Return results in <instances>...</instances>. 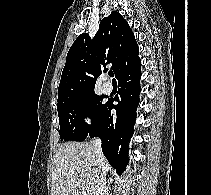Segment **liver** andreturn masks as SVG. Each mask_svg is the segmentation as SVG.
I'll use <instances>...</instances> for the list:
<instances>
[{
	"mask_svg": "<svg viewBox=\"0 0 211 195\" xmlns=\"http://www.w3.org/2000/svg\"><path fill=\"white\" fill-rule=\"evenodd\" d=\"M106 174L111 171L107 161ZM101 173L94 146L89 142L61 144L53 158L51 195H95ZM112 182V178H109Z\"/></svg>",
	"mask_w": 211,
	"mask_h": 195,
	"instance_id": "1",
	"label": "liver"
}]
</instances>
